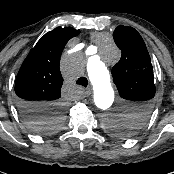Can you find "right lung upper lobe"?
Segmentation results:
<instances>
[{"mask_svg": "<svg viewBox=\"0 0 174 174\" xmlns=\"http://www.w3.org/2000/svg\"><path fill=\"white\" fill-rule=\"evenodd\" d=\"M79 33V30L71 27H57L37 42L17 74V100L45 104L59 102L63 84L59 68L61 53L68 40ZM37 116L28 121L36 120Z\"/></svg>", "mask_w": 174, "mask_h": 174, "instance_id": "obj_1", "label": "right lung upper lobe"}]
</instances>
